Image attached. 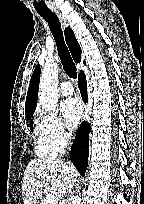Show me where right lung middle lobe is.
Instances as JSON below:
<instances>
[{"instance_id":"1","label":"right lung middle lobe","mask_w":144,"mask_h":204,"mask_svg":"<svg viewBox=\"0 0 144 204\" xmlns=\"http://www.w3.org/2000/svg\"><path fill=\"white\" fill-rule=\"evenodd\" d=\"M31 119V117H29V118H27V120H30ZM30 128H32V125L30 124Z\"/></svg>"}]
</instances>
